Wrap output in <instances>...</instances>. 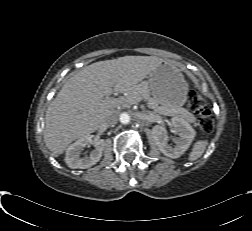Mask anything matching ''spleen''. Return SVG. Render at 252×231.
I'll use <instances>...</instances> for the list:
<instances>
[{"mask_svg": "<svg viewBox=\"0 0 252 231\" xmlns=\"http://www.w3.org/2000/svg\"><path fill=\"white\" fill-rule=\"evenodd\" d=\"M207 145H208V141H207V140H200V141H197V142L193 145V148H192V150H191V152H190V154H189L188 159H189L190 161H195V160H197L198 158H200V157L203 155V153H204V151H205Z\"/></svg>", "mask_w": 252, "mask_h": 231, "instance_id": "obj_1", "label": "spleen"}]
</instances>
